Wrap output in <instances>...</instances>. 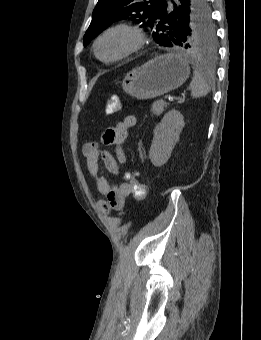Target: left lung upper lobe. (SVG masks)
Here are the masks:
<instances>
[{
	"label": "left lung upper lobe",
	"instance_id": "left-lung-upper-lobe-1",
	"mask_svg": "<svg viewBox=\"0 0 261 340\" xmlns=\"http://www.w3.org/2000/svg\"><path fill=\"white\" fill-rule=\"evenodd\" d=\"M166 0H99L89 28L84 35V46L120 19L150 26L157 44L181 47L192 52L213 54L216 51V32L206 0H193L187 16L173 26L161 17ZM174 41V45H170Z\"/></svg>",
	"mask_w": 261,
	"mask_h": 340
}]
</instances>
